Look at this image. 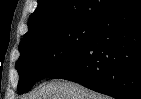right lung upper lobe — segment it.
Here are the masks:
<instances>
[{
    "label": "right lung upper lobe",
    "instance_id": "right-lung-upper-lobe-1",
    "mask_svg": "<svg viewBox=\"0 0 141 99\" xmlns=\"http://www.w3.org/2000/svg\"><path fill=\"white\" fill-rule=\"evenodd\" d=\"M128 0H38L22 42L80 21H100Z\"/></svg>",
    "mask_w": 141,
    "mask_h": 99
}]
</instances>
